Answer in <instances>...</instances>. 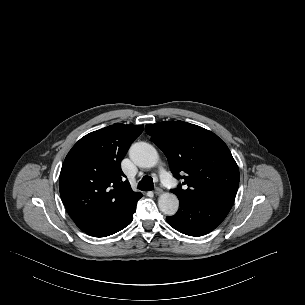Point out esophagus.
I'll return each instance as SVG.
<instances>
[{
    "label": "esophagus",
    "mask_w": 305,
    "mask_h": 305,
    "mask_svg": "<svg viewBox=\"0 0 305 305\" xmlns=\"http://www.w3.org/2000/svg\"><path fill=\"white\" fill-rule=\"evenodd\" d=\"M162 192H163V190H162L161 188H156V189L154 190V194H155V195H161Z\"/></svg>",
    "instance_id": "34e87169"
}]
</instances>
